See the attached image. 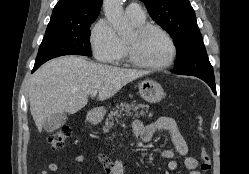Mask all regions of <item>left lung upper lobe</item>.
Segmentation results:
<instances>
[{
	"label": "left lung upper lobe",
	"instance_id": "obj_1",
	"mask_svg": "<svg viewBox=\"0 0 249 174\" xmlns=\"http://www.w3.org/2000/svg\"><path fill=\"white\" fill-rule=\"evenodd\" d=\"M141 1L145 3L152 19L173 38L177 54L172 72L214 77L189 0Z\"/></svg>",
	"mask_w": 249,
	"mask_h": 174
}]
</instances>
